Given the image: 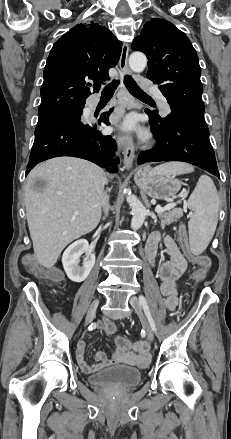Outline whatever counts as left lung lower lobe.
Returning a JSON list of instances; mask_svg holds the SVG:
<instances>
[{"instance_id":"0a47b994","label":"left lung lower lobe","mask_w":231,"mask_h":439,"mask_svg":"<svg viewBox=\"0 0 231 439\" xmlns=\"http://www.w3.org/2000/svg\"><path fill=\"white\" fill-rule=\"evenodd\" d=\"M145 112L150 118L156 146L151 150L141 151L138 164L182 161L196 165L220 178L207 126L178 113L171 112L161 119L150 110Z\"/></svg>"}]
</instances>
